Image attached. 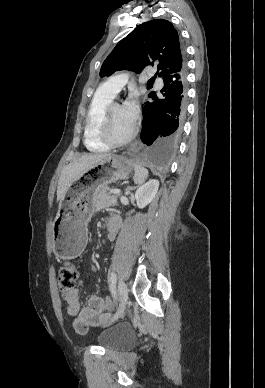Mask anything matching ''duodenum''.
<instances>
[{"instance_id":"1","label":"duodenum","mask_w":265,"mask_h":388,"mask_svg":"<svg viewBox=\"0 0 265 388\" xmlns=\"http://www.w3.org/2000/svg\"><path fill=\"white\" fill-rule=\"evenodd\" d=\"M106 228L108 232H112L116 228V221L114 219H108L106 222Z\"/></svg>"}]
</instances>
